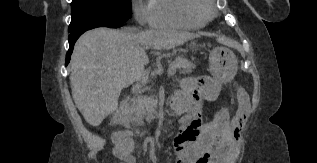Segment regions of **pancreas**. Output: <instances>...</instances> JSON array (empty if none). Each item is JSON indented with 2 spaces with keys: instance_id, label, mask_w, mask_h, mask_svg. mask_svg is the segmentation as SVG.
Listing matches in <instances>:
<instances>
[{
  "instance_id": "1",
  "label": "pancreas",
  "mask_w": 317,
  "mask_h": 163,
  "mask_svg": "<svg viewBox=\"0 0 317 163\" xmlns=\"http://www.w3.org/2000/svg\"><path fill=\"white\" fill-rule=\"evenodd\" d=\"M196 67L195 63L183 57H177L171 64L170 69L181 70L183 74H189ZM157 108V100L154 96H138L130 105L126 115L125 121L134 123L136 125H143L144 119L151 122L155 118Z\"/></svg>"
}]
</instances>
